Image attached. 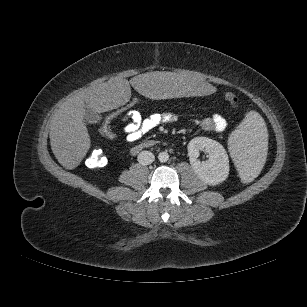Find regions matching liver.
<instances>
[{"label":"liver","mask_w":307,"mask_h":307,"mask_svg":"<svg viewBox=\"0 0 307 307\" xmlns=\"http://www.w3.org/2000/svg\"><path fill=\"white\" fill-rule=\"evenodd\" d=\"M189 73L151 72L130 81L109 80L88 87L66 100L55 112L50 127V144L58 162L66 169L76 168L90 148V136L84 123L86 107L102 113L127 103L130 84L142 95L152 99L199 96L208 99L216 85L201 75Z\"/></svg>","instance_id":"1"}]
</instances>
